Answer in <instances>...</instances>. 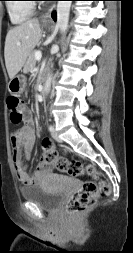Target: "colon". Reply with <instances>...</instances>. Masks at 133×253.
I'll list each match as a JSON object with an SVG mask.
<instances>
[{"instance_id": "obj_1", "label": "colon", "mask_w": 133, "mask_h": 253, "mask_svg": "<svg viewBox=\"0 0 133 253\" xmlns=\"http://www.w3.org/2000/svg\"><path fill=\"white\" fill-rule=\"evenodd\" d=\"M10 119L14 124L21 123L26 117V107L24 102L17 96H9L6 100ZM41 142L45 148L44 160L54 165L60 172L72 177H81L84 174L97 176L93 167H84L76 160H68L60 157L53 146L52 137H41ZM111 183L108 179L101 178L98 182H88L83 188L75 192L66 203L65 210L70 215H76L86 211L95 204L98 198L106 197L110 194Z\"/></svg>"}]
</instances>
